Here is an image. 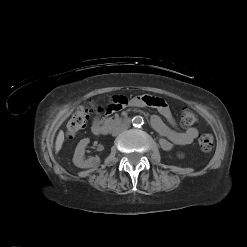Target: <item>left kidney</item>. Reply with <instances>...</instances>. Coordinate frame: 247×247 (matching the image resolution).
<instances>
[{"instance_id": "5707ae66", "label": "left kidney", "mask_w": 247, "mask_h": 247, "mask_svg": "<svg viewBox=\"0 0 247 247\" xmlns=\"http://www.w3.org/2000/svg\"><path fill=\"white\" fill-rule=\"evenodd\" d=\"M177 156H178V158H180V159L184 158V154H183V153H178Z\"/></svg>"}]
</instances>
